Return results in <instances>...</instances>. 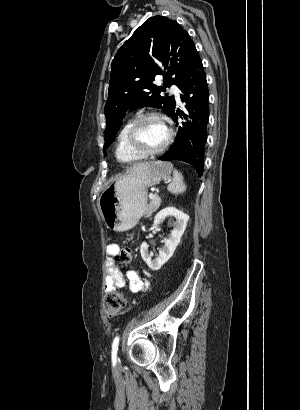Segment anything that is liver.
Segmentation results:
<instances>
[{"mask_svg": "<svg viewBox=\"0 0 300 410\" xmlns=\"http://www.w3.org/2000/svg\"><path fill=\"white\" fill-rule=\"evenodd\" d=\"M142 165H144V164L135 165L133 168L140 167V166H142Z\"/></svg>", "mask_w": 300, "mask_h": 410, "instance_id": "liver-1", "label": "liver"}]
</instances>
